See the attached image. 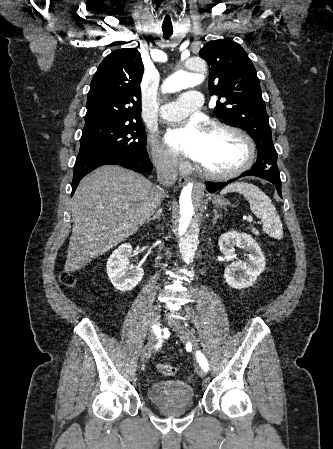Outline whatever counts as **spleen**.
<instances>
[{"mask_svg": "<svg viewBox=\"0 0 333 449\" xmlns=\"http://www.w3.org/2000/svg\"><path fill=\"white\" fill-rule=\"evenodd\" d=\"M238 192L250 204L251 211L262 220L264 231L271 237L281 239L283 227L276 208L270 198L256 185L250 183H232L225 187L221 194Z\"/></svg>", "mask_w": 333, "mask_h": 449, "instance_id": "3e777b00", "label": "spleen"}]
</instances>
